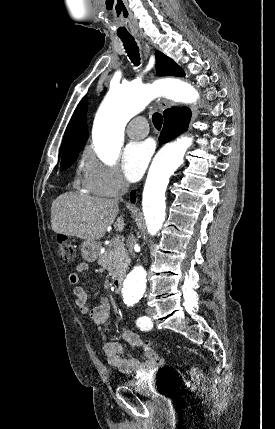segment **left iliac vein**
<instances>
[{
    "label": "left iliac vein",
    "mask_w": 275,
    "mask_h": 429,
    "mask_svg": "<svg viewBox=\"0 0 275 429\" xmlns=\"http://www.w3.org/2000/svg\"><path fill=\"white\" fill-rule=\"evenodd\" d=\"M146 313H147L148 317L151 319L155 314V310L153 308H147Z\"/></svg>",
    "instance_id": "1"
}]
</instances>
